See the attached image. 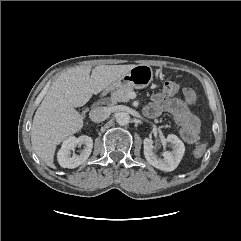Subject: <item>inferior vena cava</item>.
<instances>
[{
    "mask_svg": "<svg viewBox=\"0 0 241 241\" xmlns=\"http://www.w3.org/2000/svg\"><path fill=\"white\" fill-rule=\"evenodd\" d=\"M89 117L91 121L99 123L109 117V111L105 107H96L90 111Z\"/></svg>",
    "mask_w": 241,
    "mask_h": 241,
    "instance_id": "inferior-vena-cava-1",
    "label": "inferior vena cava"
}]
</instances>
